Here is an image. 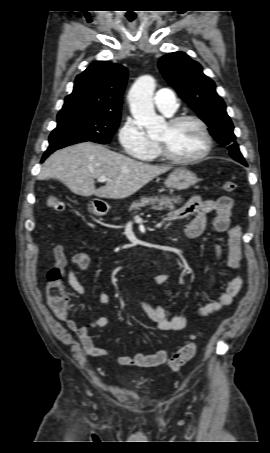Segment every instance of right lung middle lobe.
<instances>
[{
    "label": "right lung middle lobe",
    "instance_id": "dd1d6c3e",
    "mask_svg": "<svg viewBox=\"0 0 270 453\" xmlns=\"http://www.w3.org/2000/svg\"><path fill=\"white\" fill-rule=\"evenodd\" d=\"M57 127L49 137L48 149H60L79 142H110L117 130L120 116L81 112L57 117Z\"/></svg>",
    "mask_w": 270,
    "mask_h": 453
}]
</instances>
